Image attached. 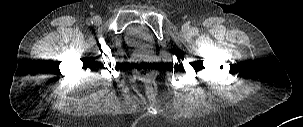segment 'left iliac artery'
<instances>
[{
  "instance_id": "1",
  "label": "left iliac artery",
  "mask_w": 303,
  "mask_h": 127,
  "mask_svg": "<svg viewBox=\"0 0 303 127\" xmlns=\"http://www.w3.org/2000/svg\"><path fill=\"white\" fill-rule=\"evenodd\" d=\"M198 32H199L198 28H195V27H194V28L192 29V33H193L194 35H197Z\"/></svg>"
}]
</instances>
